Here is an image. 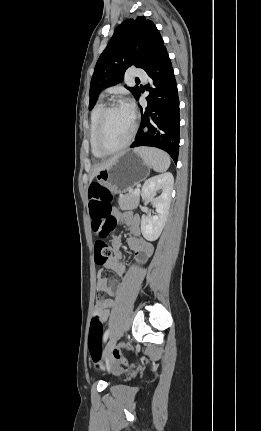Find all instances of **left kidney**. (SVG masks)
Masks as SVG:
<instances>
[{"label": "left kidney", "mask_w": 261, "mask_h": 431, "mask_svg": "<svg viewBox=\"0 0 261 431\" xmlns=\"http://www.w3.org/2000/svg\"><path fill=\"white\" fill-rule=\"evenodd\" d=\"M174 178L171 173H164L148 179L142 187V199L150 200L156 208V215L142 216L141 231L143 237L148 241L156 240L167 220ZM161 189L160 196L155 197L157 190Z\"/></svg>", "instance_id": "left-kidney-1"}]
</instances>
